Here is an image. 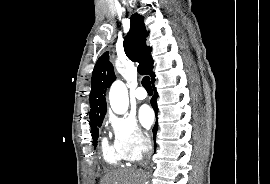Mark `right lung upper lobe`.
<instances>
[{"label": "right lung upper lobe", "instance_id": "obj_1", "mask_svg": "<svg viewBox=\"0 0 270 184\" xmlns=\"http://www.w3.org/2000/svg\"><path fill=\"white\" fill-rule=\"evenodd\" d=\"M130 30L124 39V50L129 59L138 62V72L147 74L151 79L155 77L151 48L146 45L148 32L143 22V16L133 14L130 18ZM113 66L109 61V52H105L96 62L91 79L90 100V126L103 121L106 114L105 93L107 88L115 81Z\"/></svg>", "mask_w": 270, "mask_h": 184}]
</instances>
